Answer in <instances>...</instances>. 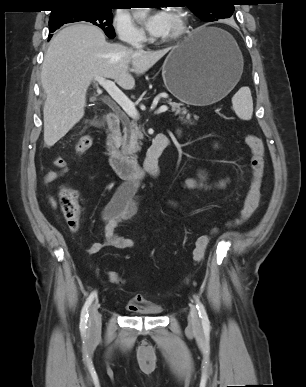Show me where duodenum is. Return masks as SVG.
I'll list each match as a JSON object with an SVG mask.
<instances>
[{"label":"duodenum","instance_id":"duodenum-1","mask_svg":"<svg viewBox=\"0 0 306 387\" xmlns=\"http://www.w3.org/2000/svg\"><path fill=\"white\" fill-rule=\"evenodd\" d=\"M109 133L106 139V154L113 171L122 179L135 183L145 177L156 178L160 174L159 157L169 145L170 139L165 134H157L147 150L142 163L132 156L123 155L118 148L120 136V118L111 113L107 117Z\"/></svg>","mask_w":306,"mask_h":387}]
</instances>
